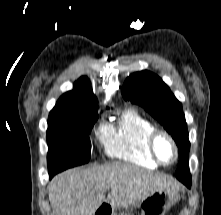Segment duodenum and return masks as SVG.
Segmentation results:
<instances>
[{
  "label": "duodenum",
  "mask_w": 221,
  "mask_h": 215,
  "mask_svg": "<svg viewBox=\"0 0 221 215\" xmlns=\"http://www.w3.org/2000/svg\"><path fill=\"white\" fill-rule=\"evenodd\" d=\"M111 212V207L107 204H103L97 209L94 215H111Z\"/></svg>",
  "instance_id": "410a0bca"
}]
</instances>
